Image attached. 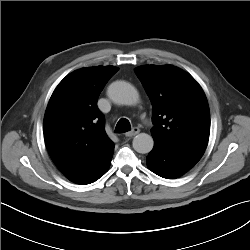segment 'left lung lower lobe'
<instances>
[{
	"mask_svg": "<svg viewBox=\"0 0 250 250\" xmlns=\"http://www.w3.org/2000/svg\"><path fill=\"white\" fill-rule=\"evenodd\" d=\"M203 154L200 150L170 148L154 142L147 156V166L155 174L173 179L189 171Z\"/></svg>",
	"mask_w": 250,
	"mask_h": 250,
	"instance_id": "obj_1",
	"label": "left lung lower lobe"
}]
</instances>
